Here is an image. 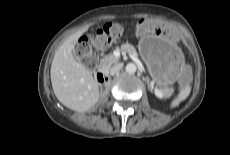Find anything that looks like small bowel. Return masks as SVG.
<instances>
[{
  "label": "small bowel",
  "instance_id": "obj_1",
  "mask_svg": "<svg viewBox=\"0 0 230 155\" xmlns=\"http://www.w3.org/2000/svg\"><path fill=\"white\" fill-rule=\"evenodd\" d=\"M156 32L158 35H162L165 41H170L172 45L179 43V37L176 35L177 31L174 27L165 21L156 20L144 17L140 20V24L137 25V32L140 34Z\"/></svg>",
  "mask_w": 230,
  "mask_h": 155
}]
</instances>
